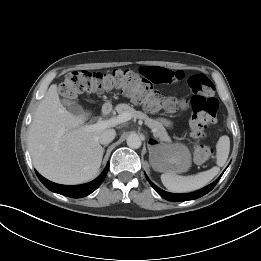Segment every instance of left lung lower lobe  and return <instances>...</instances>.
<instances>
[{
    "mask_svg": "<svg viewBox=\"0 0 261 261\" xmlns=\"http://www.w3.org/2000/svg\"><path fill=\"white\" fill-rule=\"evenodd\" d=\"M220 177L217 180H215L213 183H211L210 185H208V186H206V187H204V188H202V189H200L196 192L188 193V194H173V193H169V192H166V191L160 189L154 183H152L150 181V179L146 176L148 182L156 190V192L161 197H163L164 199L169 200V201H188V200H193V199H197L199 197H202L203 195L207 194L208 192H210L214 188V186L219 181Z\"/></svg>",
    "mask_w": 261,
    "mask_h": 261,
    "instance_id": "left-lung-lower-lobe-1",
    "label": "left lung lower lobe"
}]
</instances>
